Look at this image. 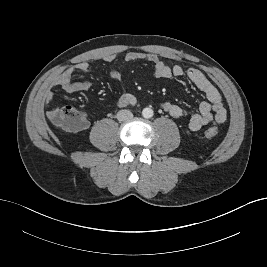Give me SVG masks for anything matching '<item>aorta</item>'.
<instances>
[{
    "label": "aorta",
    "mask_w": 267,
    "mask_h": 267,
    "mask_svg": "<svg viewBox=\"0 0 267 267\" xmlns=\"http://www.w3.org/2000/svg\"><path fill=\"white\" fill-rule=\"evenodd\" d=\"M142 116L144 118H151L153 116V110L151 108H144L142 111Z\"/></svg>",
    "instance_id": "762f6f07"
}]
</instances>
